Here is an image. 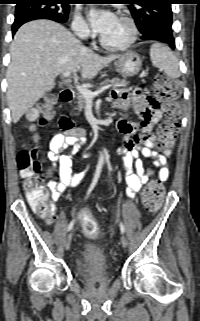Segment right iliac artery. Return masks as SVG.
<instances>
[{
    "mask_svg": "<svg viewBox=\"0 0 200 321\" xmlns=\"http://www.w3.org/2000/svg\"><path fill=\"white\" fill-rule=\"evenodd\" d=\"M101 170H102V164L99 163V164L97 165V167H96V171H95V174H94V178H93L92 183H91V185H90V187H89V189H88L86 198L88 197V195L91 193V191L94 189L95 185L97 184V181H98V179H99V177H100V174H101ZM73 225H74V220H72V221L70 222V224L68 225L67 230L70 231V230L72 229Z\"/></svg>",
    "mask_w": 200,
    "mask_h": 321,
    "instance_id": "1",
    "label": "right iliac artery"
}]
</instances>
